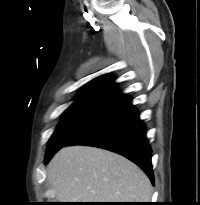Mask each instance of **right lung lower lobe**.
I'll list each match as a JSON object with an SVG mask.
<instances>
[{
    "label": "right lung lower lobe",
    "instance_id": "1",
    "mask_svg": "<svg viewBox=\"0 0 200 205\" xmlns=\"http://www.w3.org/2000/svg\"><path fill=\"white\" fill-rule=\"evenodd\" d=\"M145 133V125L139 119V113L131 104L130 97L124 96L63 146L82 144L119 153L140 166L153 183L151 148ZM61 147L48 154L45 163Z\"/></svg>",
    "mask_w": 200,
    "mask_h": 205
}]
</instances>
